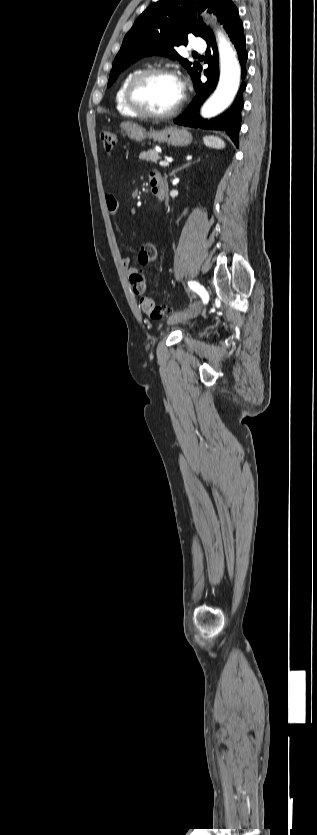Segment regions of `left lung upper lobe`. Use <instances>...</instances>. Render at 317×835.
I'll use <instances>...</instances> for the list:
<instances>
[{
  "mask_svg": "<svg viewBox=\"0 0 317 835\" xmlns=\"http://www.w3.org/2000/svg\"><path fill=\"white\" fill-rule=\"evenodd\" d=\"M229 0H161L149 6L135 21L126 34L121 49L113 61L108 87L118 75L131 63L144 56L164 55L178 58L193 76L199 64L180 57L174 46L186 45L187 35L193 33L206 41L213 36L212 31L196 18L197 11L208 9L214 12L224 25L227 14L223 11Z\"/></svg>",
  "mask_w": 317,
  "mask_h": 835,
  "instance_id": "obj_1",
  "label": "left lung upper lobe"
}]
</instances>
